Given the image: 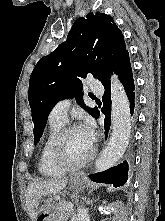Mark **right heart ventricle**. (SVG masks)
<instances>
[{"mask_svg": "<svg viewBox=\"0 0 165 221\" xmlns=\"http://www.w3.org/2000/svg\"><path fill=\"white\" fill-rule=\"evenodd\" d=\"M63 125L64 123L50 121L48 132L44 139L38 161V169L44 176L58 177L66 173V170L60 169L54 164L51 154L54 138Z\"/></svg>", "mask_w": 165, "mask_h": 221, "instance_id": "right-heart-ventricle-1", "label": "right heart ventricle"}]
</instances>
